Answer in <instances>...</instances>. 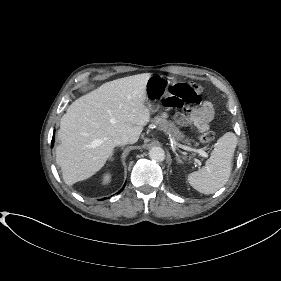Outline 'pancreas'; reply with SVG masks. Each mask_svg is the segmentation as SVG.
Segmentation results:
<instances>
[{
    "instance_id": "cf45deb5",
    "label": "pancreas",
    "mask_w": 281,
    "mask_h": 281,
    "mask_svg": "<svg viewBox=\"0 0 281 281\" xmlns=\"http://www.w3.org/2000/svg\"><path fill=\"white\" fill-rule=\"evenodd\" d=\"M166 118L167 114L163 113L154 117L151 122L160 130L169 134L173 140L188 142L187 139H184V135L179 131L178 127H176V125L172 121H168Z\"/></svg>"
}]
</instances>
